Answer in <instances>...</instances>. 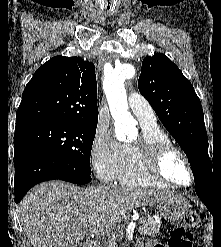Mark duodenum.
<instances>
[{
	"label": "duodenum",
	"instance_id": "duodenum-1",
	"mask_svg": "<svg viewBox=\"0 0 221 247\" xmlns=\"http://www.w3.org/2000/svg\"><path fill=\"white\" fill-rule=\"evenodd\" d=\"M86 247H97V244L94 241H89L87 242Z\"/></svg>",
	"mask_w": 221,
	"mask_h": 247
}]
</instances>
